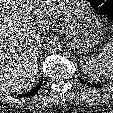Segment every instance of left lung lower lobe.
Segmentation results:
<instances>
[{
    "instance_id": "0a47b994",
    "label": "left lung lower lobe",
    "mask_w": 113,
    "mask_h": 113,
    "mask_svg": "<svg viewBox=\"0 0 113 113\" xmlns=\"http://www.w3.org/2000/svg\"><path fill=\"white\" fill-rule=\"evenodd\" d=\"M83 82V80H81ZM92 86V85H91ZM96 88H100V86H96Z\"/></svg>"
}]
</instances>
